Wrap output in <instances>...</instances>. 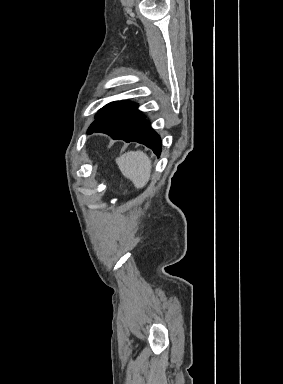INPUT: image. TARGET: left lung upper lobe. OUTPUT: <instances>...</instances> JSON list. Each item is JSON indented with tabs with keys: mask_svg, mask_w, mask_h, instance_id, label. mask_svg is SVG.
I'll list each match as a JSON object with an SVG mask.
<instances>
[{
	"mask_svg": "<svg viewBox=\"0 0 283 384\" xmlns=\"http://www.w3.org/2000/svg\"><path fill=\"white\" fill-rule=\"evenodd\" d=\"M117 103L116 102H112V103H109L107 104L106 106H104L103 108H101L97 115H96V118H98L99 116H101L103 113H105L107 110H109L111 107H113L114 105H116Z\"/></svg>",
	"mask_w": 283,
	"mask_h": 384,
	"instance_id": "1",
	"label": "left lung upper lobe"
}]
</instances>
